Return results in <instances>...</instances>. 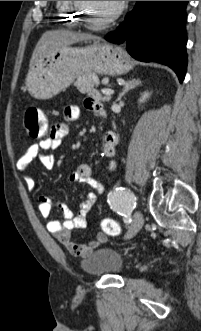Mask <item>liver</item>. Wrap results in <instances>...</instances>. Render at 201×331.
Here are the masks:
<instances>
[{"instance_id": "obj_1", "label": "liver", "mask_w": 201, "mask_h": 331, "mask_svg": "<svg viewBox=\"0 0 201 331\" xmlns=\"http://www.w3.org/2000/svg\"><path fill=\"white\" fill-rule=\"evenodd\" d=\"M96 39L98 38L91 34L76 33L69 30L47 31L41 36L33 51L29 64L30 69L33 68L43 58L50 56L52 53L58 51L62 47L69 46L80 41Z\"/></svg>"}]
</instances>
